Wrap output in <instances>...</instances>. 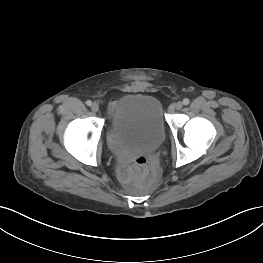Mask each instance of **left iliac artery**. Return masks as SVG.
Returning a JSON list of instances; mask_svg holds the SVG:
<instances>
[{"mask_svg":"<svg viewBox=\"0 0 263 263\" xmlns=\"http://www.w3.org/2000/svg\"><path fill=\"white\" fill-rule=\"evenodd\" d=\"M189 102H190V101H189V99H188V98H185V99L183 100V104H184V105H188V104H189Z\"/></svg>","mask_w":263,"mask_h":263,"instance_id":"obj_1","label":"left iliac artery"}]
</instances>
